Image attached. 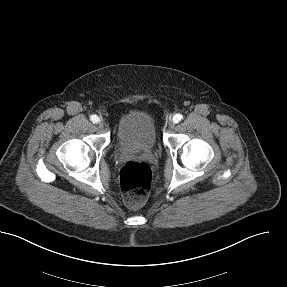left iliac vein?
<instances>
[{"label": "left iliac vein", "instance_id": "left-iliac-vein-1", "mask_svg": "<svg viewBox=\"0 0 287 287\" xmlns=\"http://www.w3.org/2000/svg\"><path fill=\"white\" fill-rule=\"evenodd\" d=\"M168 126L169 128L173 129L175 127V123L173 121H170Z\"/></svg>", "mask_w": 287, "mask_h": 287}]
</instances>
